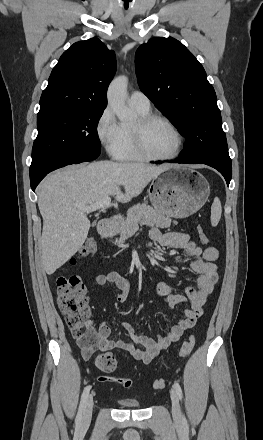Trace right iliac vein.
I'll use <instances>...</instances> for the list:
<instances>
[{
    "label": "right iliac vein",
    "mask_w": 263,
    "mask_h": 440,
    "mask_svg": "<svg viewBox=\"0 0 263 440\" xmlns=\"http://www.w3.org/2000/svg\"><path fill=\"white\" fill-rule=\"evenodd\" d=\"M92 410H93V397L89 396L83 408L82 419L80 424L82 428L89 426L92 418Z\"/></svg>",
    "instance_id": "right-iliac-vein-1"
}]
</instances>
